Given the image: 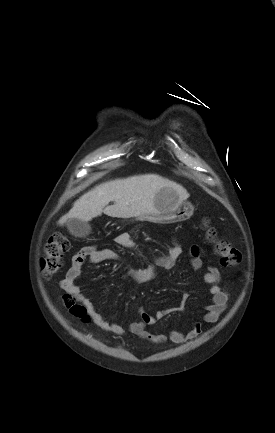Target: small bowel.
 Instances as JSON below:
<instances>
[{"instance_id": "obj_1", "label": "small bowel", "mask_w": 275, "mask_h": 433, "mask_svg": "<svg viewBox=\"0 0 275 433\" xmlns=\"http://www.w3.org/2000/svg\"><path fill=\"white\" fill-rule=\"evenodd\" d=\"M114 241L117 245L124 248L133 249L136 247L132 232H121L115 236ZM189 252L191 256V267L196 271L200 270L203 265L200 257V247L192 245ZM181 254V245L175 241L164 255L155 259L152 265L139 269L130 268L127 272V277L139 283L148 282L157 276L159 269H171ZM86 261L91 264H99L105 261L122 262V256L112 249H98L95 246H85L81 248L72 257L71 267L68 269L65 278L61 281V287L86 307L95 324L101 329L116 335L124 334V328L117 323L107 321L97 310L95 305L83 295L80 287L76 284V280L79 278L82 267ZM203 280L204 283L209 286V293L211 295V303L207 306V311L203 319L204 322L208 324H214L219 321L227 307L228 293L220 286L221 274L216 267L208 266ZM137 313L141 320L132 321L128 327L129 332L154 345H163L167 340L175 344L183 343L196 338L203 331L200 323H194L188 332L173 330L168 336L162 333L149 332L146 327L155 325L167 312L161 310L154 314H149L139 308Z\"/></svg>"}]
</instances>
